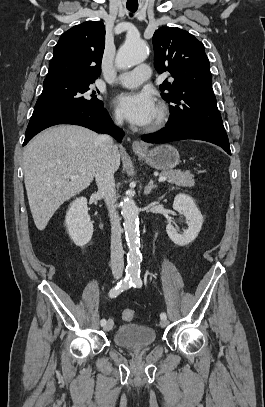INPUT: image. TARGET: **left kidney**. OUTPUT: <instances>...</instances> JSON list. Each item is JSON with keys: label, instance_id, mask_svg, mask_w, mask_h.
Segmentation results:
<instances>
[{"label": "left kidney", "instance_id": "obj_1", "mask_svg": "<svg viewBox=\"0 0 265 407\" xmlns=\"http://www.w3.org/2000/svg\"><path fill=\"white\" fill-rule=\"evenodd\" d=\"M173 209L181 213L188 225L184 233L176 231L172 224L166 226L169 238L178 246H185L195 240L203 224V216L194 200L186 194H178L174 198Z\"/></svg>", "mask_w": 265, "mask_h": 407}]
</instances>
